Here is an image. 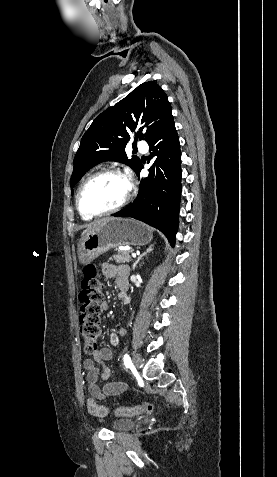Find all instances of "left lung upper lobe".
I'll return each mask as SVG.
<instances>
[{
	"instance_id": "1",
	"label": "left lung upper lobe",
	"mask_w": 277,
	"mask_h": 477,
	"mask_svg": "<svg viewBox=\"0 0 277 477\" xmlns=\"http://www.w3.org/2000/svg\"><path fill=\"white\" fill-rule=\"evenodd\" d=\"M171 118L172 108L163 89L154 81L139 85L97 116L83 135L73 161L71 188L89 169L104 161L124 163L136 172L140 159H129L125 153L130 137L148 142Z\"/></svg>"
}]
</instances>
